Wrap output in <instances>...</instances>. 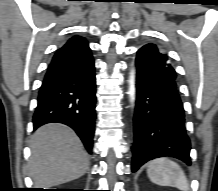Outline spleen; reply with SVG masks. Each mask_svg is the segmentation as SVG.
<instances>
[{"label": "spleen", "instance_id": "1", "mask_svg": "<svg viewBox=\"0 0 218 191\" xmlns=\"http://www.w3.org/2000/svg\"><path fill=\"white\" fill-rule=\"evenodd\" d=\"M147 175L155 184L176 187L182 191L189 190L184 171L169 158L162 157L151 161L147 167Z\"/></svg>", "mask_w": 218, "mask_h": 191}]
</instances>
